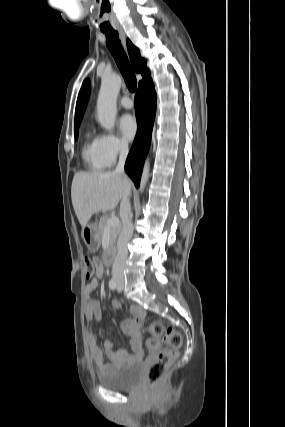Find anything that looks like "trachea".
I'll list each match as a JSON object with an SVG mask.
<instances>
[{
    "mask_svg": "<svg viewBox=\"0 0 285 427\" xmlns=\"http://www.w3.org/2000/svg\"><path fill=\"white\" fill-rule=\"evenodd\" d=\"M106 35V45L114 57L119 70L122 73L127 88L131 92H135L137 88V80L134 69L129 63L128 57L118 39V32L104 31Z\"/></svg>",
    "mask_w": 285,
    "mask_h": 427,
    "instance_id": "1",
    "label": "trachea"
}]
</instances>
